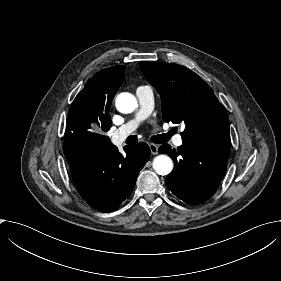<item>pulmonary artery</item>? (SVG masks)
<instances>
[{
  "label": "pulmonary artery",
  "instance_id": "e3ab8cb5",
  "mask_svg": "<svg viewBox=\"0 0 281 281\" xmlns=\"http://www.w3.org/2000/svg\"><path fill=\"white\" fill-rule=\"evenodd\" d=\"M136 95L139 102V110L136 113V118L122 125L111 136L112 143L116 147H121L123 145L127 137L135 130L138 122L148 116L154 107V96L149 87H139L136 90ZM173 143L176 146H181L183 144L181 134H177L173 137Z\"/></svg>",
  "mask_w": 281,
  "mask_h": 281
}]
</instances>
